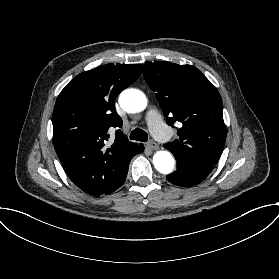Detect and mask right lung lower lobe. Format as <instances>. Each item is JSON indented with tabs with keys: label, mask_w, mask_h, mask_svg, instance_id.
Listing matches in <instances>:
<instances>
[{
	"label": "right lung lower lobe",
	"mask_w": 279,
	"mask_h": 279,
	"mask_svg": "<svg viewBox=\"0 0 279 279\" xmlns=\"http://www.w3.org/2000/svg\"><path fill=\"white\" fill-rule=\"evenodd\" d=\"M127 174H125L121 180L117 183V185L115 186V188L112 190V192H114L115 190H117L125 181Z\"/></svg>",
	"instance_id": "obj_1"
}]
</instances>
